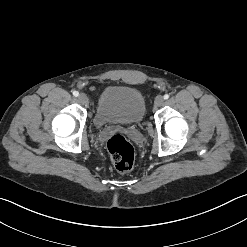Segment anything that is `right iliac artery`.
<instances>
[{
  "label": "right iliac artery",
  "instance_id": "obj_1",
  "mask_svg": "<svg viewBox=\"0 0 247 247\" xmlns=\"http://www.w3.org/2000/svg\"><path fill=\"white\" fill-rule=\"evenodd\" d=\"M73 95H74L75 97H78V96H79L78 91H73Z\"/></svg>",
  "mask_w": 247,
  "mask_h": 247
}]
</instances>
